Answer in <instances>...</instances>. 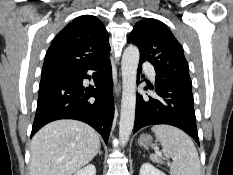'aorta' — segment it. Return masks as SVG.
Instances as JSON below:
<instances>
[{
    "label": "aorta",
    "instance_id": "obj_1",
    "mask_svg": "<svg viewBox=\"0 0 233 175\" xmlns=\"http://www.w3.org/2000/svg\"><path fill=\"white\" fill-rule=\"evenodd\" d=\"M139 56V49L134 45H129L122 56L123 90L119 122V139L122 146L127 144L134 127Z\"/></svg>",
    "mask_w": 233,
    "mask_h": 175
}]
</instances>
